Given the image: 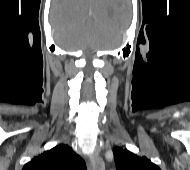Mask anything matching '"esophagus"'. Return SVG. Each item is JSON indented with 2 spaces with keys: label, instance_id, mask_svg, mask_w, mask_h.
I'll use <instances>...</instances> for the list:
<instances>
[{
  "label": "esophagus",
  "instance_id": "esophagus-1",
  "mask_svg": "<svg viewBox=\"0 0 190 170\" xmlns=\"http://www.w3.org/2000/svg\"><path fill=\"white\" fill-rule=\"evenodd\" d=\"M89 161L94 170H105V163L97 152L89 156Z\"/></svg>",
  "mask_w": 190,
  "mask_h": 170
}]
</instances>
